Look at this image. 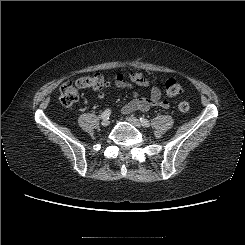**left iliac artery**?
Instances as JSON below:
<instances>
[{
    "mask_svg": "<svg viewBox=\"0 0 245 245\" xmlns=\"http://www.w3.org/2000/svg\"><path fill=\"white\" fill-rule=\"evenodd\" d=\"M140 122H141L142 126L150 127V122L147 119H145L144 117H140Z\"/></svg>",
    "mask_w": 245,
    "mask_h": 245,
    "instance_id": "1",
    "label": "left iliac artery"
}]
</instances>
